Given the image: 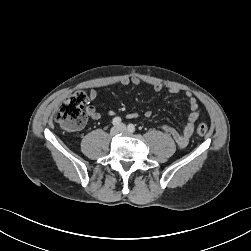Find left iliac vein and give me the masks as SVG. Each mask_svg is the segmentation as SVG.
<instances>
[{
  "label": "left iliac vein",
  "mask_w": 251,
  "mask_h": 251,
  "mask_svg": "<svg viewBox=\"0 0 251 251\" xmlns=\"http://www.w3.org/2000/svg\"><path fill=\"white\" fill-rule=\"evenodd\" d=\"M119 128H120V131L122 132V133H129L130 131L128 130V128L124 125V124H121L120 126H119Z\"/></svg>",
  "instance_id": "obj_1"
}]
</instances>
